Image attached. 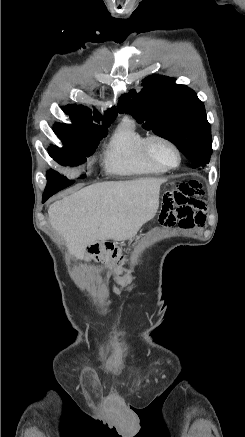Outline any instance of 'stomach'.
Here are the masks:
<instances>
[{
    "label": "stomach",
    "instance_id": "1",
    "mask_svg": "<svg viewBox=\"0 0 245 437\" xmlns=\"http://www.w3.org/2000/svg\"><path fill=\"white\" fill-rule=\"evenodd\" d=\"M173 183L174 182H167V181H165L164 184H163V189L164 190L168 189L169 187H171L173 185Z\"/></svg>",
    "mask_w": 245,
    "mask_h": 437
}]
</instances>
